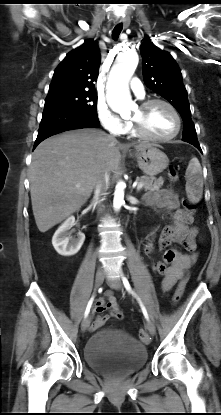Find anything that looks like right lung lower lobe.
<instances>
[{
  "mask_svg": "<svg viewBox=\"0 0 221 415\" xmlns=\"http://www.w3.org/2000/svg\"><path fill=\"white\" fill-rule=\"evenodd\" d=\"M99 126L98 117L80 111L44 108L34 149L40 142L52 135L73 129L96 128Z\"/></svg>",
  "mask_w": 221,
  "mask_h": 415,
  "instance_id": "98d812e1",
  "label": "right lung lower lobe"
}]
</instances>
